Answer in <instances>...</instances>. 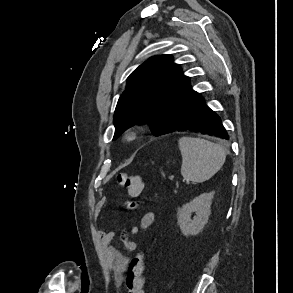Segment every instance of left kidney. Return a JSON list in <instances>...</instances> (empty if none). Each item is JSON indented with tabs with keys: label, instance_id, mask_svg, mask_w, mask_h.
Here are the masks:
<instances>
[{
	"label": "left kidney",
	"instance_id": "1",
	"mask_svg": "<svg viewBox=\"0 0 293 293\" xmlns=\"http://www.w3.org/2000/svg\"><path fill=\"white\" fill-rule=\"evenodd\" d=\"M213 196L214 192L203 193L179 209L178 225L184 236L199 234L207 224ZM192 213L196 214L193 219H191Z\"/></svg>",
	"mask_w": 293,
	"mask_h": 293
}]
</instances>
